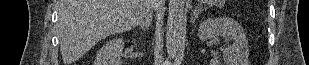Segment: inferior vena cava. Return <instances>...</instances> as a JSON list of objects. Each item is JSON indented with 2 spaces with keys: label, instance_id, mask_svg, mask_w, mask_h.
I'll return each instance as SVG.
<instances>
[{
  "label": "inferior vena cava",
  "instance_id": "obj_1",
  "mask_svg": "<svg viewBox=\"0 0 309 65\" xmlns=\"http://www.w3.org/2000/svg\"><path fill=\"white\" fill-rule=\"evenodd\" d=\"M161 2L157 0H149L145 10L142 12L139 20L140 27L145 31L152 23V11L160 7Z\"/></svg>",
  "mask_w": 309,
  "mask_h": 65
}]
</instances>
